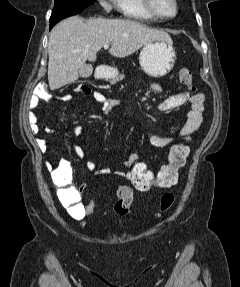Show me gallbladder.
Masks as SVG:
<instances>
[{"label":"gallbladder","mask_w":240,"mask_h":287,"mask_svg":"<svg viewBox=\"0 0 240 287\" xmlns=\"http://www.w3.org/2000/svg\"><path fill=\"white\" fill-rule=\"evenodd\" d=\"M93 72V67L89 64H85L79 71V76L82 78H88Z\"/></svg>","instance_id":"obj_1"}]
</instances>
